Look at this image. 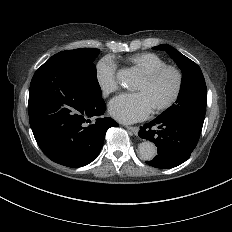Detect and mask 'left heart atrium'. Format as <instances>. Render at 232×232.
I'll list each match as a JSON object with an SVG mask.
<instances>
[{
    "mask_svg": "<svg viewBox=\"0 0 232 232\" xmlns=\"http://www.w3.org/2000/svg\"><path fill=\"white\" fill-rule=\"evenodd\" d=\"M155 107L143 92L124 93L114 98L108 106L109 114L122 123H134L148 118Z\"/></svg>",
    "mask_w": 232,
    "mask_h": 232,
    "instance_id": "left-heart-atrium-1",
    "label": "left heart atrium"
}]
</instances>
